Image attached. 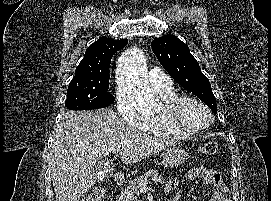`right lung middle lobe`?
Segmentation results:
<instances>
[{"mask_svg": "<svg viewBox=\"0 0 271 201\" xmlns=\"http://www.w3.org/2000/svg\"><path fill=\"white\" fill-rule=\"evenodd\" d=\"M110 74L77 75L68 86L65 106L70 110H92L109 106L114 96L109 92Z\"/></svg>", "mask_w": 271, "mask_h": 201, "instance_id": "dd1d6c3e", "label": "right lung middle lobe"}]
</instances>
